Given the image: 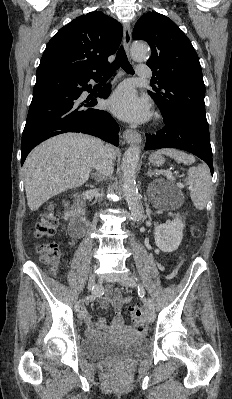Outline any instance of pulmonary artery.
<instances>
[{
  "instance_id": "1",
  "label": "pulmonary artery",
  "mask_w": 232,
  "mask_h": 399,
  "mask_svg": "<svg viewBox=\"0 0 232 399\" xmlns=\"http://www.w3.org/2000/svg\"><path fill=\"white\" fill-rule=\"evenodd\" d=\"M137 68L140 70L138 75L140 80H152L154 71L153 69H148L147 63H138Z\"/></svg>"
}]
</instances>
